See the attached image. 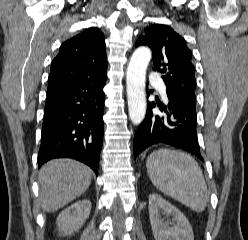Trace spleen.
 Instances as JSON below:
<instances>
[{"label": "spleen", "mask_w": 248, "mask_h": 240, "mask_svg": "<svg viewBox=\"0 0 248 240\" xmlns=\"http://www.w3.org/2000/svg\"><path fill=\"white\" fill-rule=\"evenodd\" d=\"M147 172L154 186L195 212L204 211L209 196L199 164L189 154L159 149L149 155Z\"/></svg>", "instance_id": "obj_1"}]
</instances>
